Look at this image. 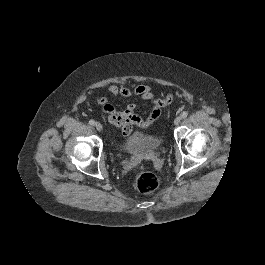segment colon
<instances>
[{"mask_svg":"<svg viewBox=\"0 0 265 265\" xmlns=\"http://www.w3.org/2000/svg\"><path fill=\"white\" fill-rule=\"evenodd\" d=\"M166 100L169 104L171 102V95H167ZM122 134L124 136H127L130 134V132L127 129H123ZM158 184L159 180L157 176L152 172H142L137 176L135 180V186L137 190L144 194L154 191L158 187Z\"/></svg>","mask_w":265,"mask_h":265,"instance_id":"5ec220e1","label":"colon"}]
</instances>
